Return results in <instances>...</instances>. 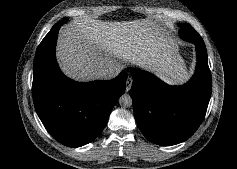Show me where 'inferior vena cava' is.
I'll return each instance as SVG.
<instances>
[{"mask_svg": "<svg viewBox=\"0 0 237 169\" xmlns=\"http://www.w3.org/2000/svg\"><path fill=\"white\" fill-rule=\"evenodd\" d=\"M121 72L120 67H107L101 70L100 72V78L107 80V79H112L116 77L119 73Z\"/></svg>", "mask_w": 237, "mask_h": 169, "instance_id": "602c4592", "label": "inferior vena cava"}]
</instances>
